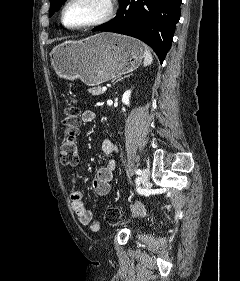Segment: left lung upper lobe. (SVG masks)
Masks as SVG:
<instances>
[{
    "label": "left lung upper lobe",
    "mask_w": 240,
    "mask_h": 281,
    "mask_svg": "<svg viewBox=\"0 0 240 281\" xmlns=\"http://www.w3.org/2000/svg\"><path fill=\"white\" fill-rule=\"evenodd\" d=\"M66 0H50V16L57 11Z\"/></svg>",
    "instance_id": "1"
}]
</instances>
